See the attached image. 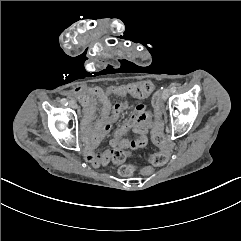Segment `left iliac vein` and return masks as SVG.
<instances>
[{
    "mask_svg": "<svg viewBox=\"0 0 241 241\" xmlns=\"http://www.w3.org/2000/svg\"><path fill=\"white\" fill-rule=\"evenodd\" d=\"M169 95H170V90L169 89H165L162 93V99L164 101H166L168 98H169Z\"/></svg>",
    "mask_w": 241,
    "mask_h": 241,
    "instance_id": "left-iliac-vein-1",
    "label": "left iliac vein"
}]
</instances>
